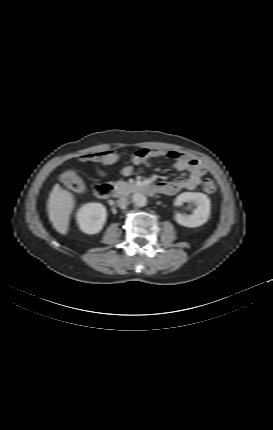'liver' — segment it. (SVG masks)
<instances>
[{"label":"liver","instance_id":"6515ba94","mask_svg":"<svg viewBox=\"0 0 273 430\" xmlns=\"http://www.w3.org/2000/svg\"><path fill=\"white\" fill-rule=\"evenodd\" d=\"M49 219L53 227L62 235H66L69 228L70 215L75 208V197L69 191L55 184L48 200Z\"/></svg>","mask_w":273,"mask_h":430}]
</instances>
